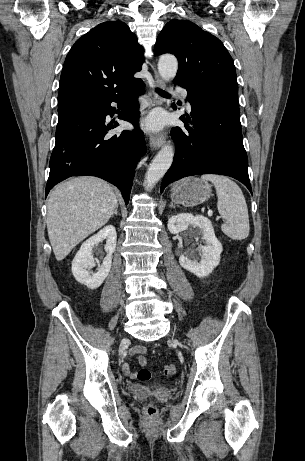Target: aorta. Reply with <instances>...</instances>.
<instances>
[{
	"mask_svg": "<svg viewBox=\"0 0 305 461\" xmlns=\"http://www.w3.org/2000/svg\"><path fill=\"white\" fill-rule=\"evenodd\" d=\"M178 70V61L173 55H163L158 62V71L161 78L165 81L172 80ZM174 157V150L171 145H165L161 148L155 158L152 160L146 172L147 188H152L170 168Z\"/></svg>",
	"mask_w": 305,
	"mask_h": 461,
	"instance_id": "obj_1",
	"label": "aorta"
}]
</instances>
